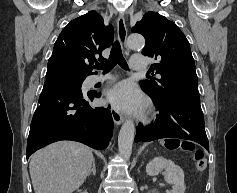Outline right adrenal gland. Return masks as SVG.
I'll list each match as a JSON object with an SVG mask.
<instances>
[{"instance_id": "1", "label": "right adrenal gland", "mask_w": 237, "mask_h": 193, "mask_svg": "<svg viewBox=\"0 0 237 193\" xmlns=\"http://www.w3.org/2000/svg\"><path fill=\"white\" fill-rule=\"evenodd\" d=\"M91 173H92L93 175L96 174V164H95V160L93 161L92 169H91L90 172L88 173V176H90Z\"/></svg>"}]
</instances>
